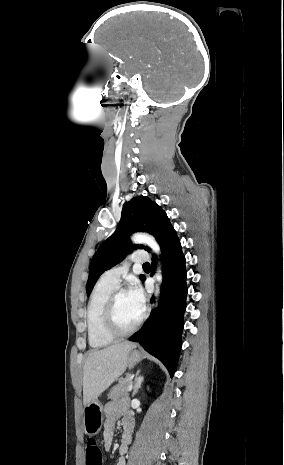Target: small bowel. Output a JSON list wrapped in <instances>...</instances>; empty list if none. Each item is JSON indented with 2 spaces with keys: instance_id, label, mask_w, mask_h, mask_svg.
Here are the masks:
<instances>
[{
  "instance_id": "obj_1",
  "label": "small bowel",
  "mask_w": 284,
  "mask_h": 465,
  "mask_svg": "<svg viewBox=\"0 0 284 465\" xmlns=\"http://www.w3.org/2000/svg\"><path fill=\"white\" fill-rule=\"evenodd\" d=\"M105 422L103 431V444L108 450L114 439L116 423L121 419L123 432L119 447V459L117 465H126V455L131 444L133 423L128 414L127 404L125 401L109 402L105 406Z\"/></svg>"
}]
</instances>
